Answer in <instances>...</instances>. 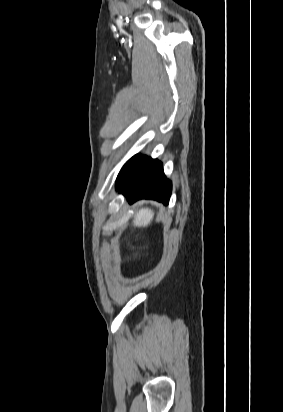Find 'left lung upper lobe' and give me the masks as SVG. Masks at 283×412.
I'll return each instance as SVG.
<instances>
[{
  "label": "left lung upper lobe",
  "mask_w": 283,
  "mask_h": 412,
  "mask_svg": "<svg viewBox=\"0 0 283 412\" xmlns=\"http://www.w3.org/2000/svg\"><path fill=\"white\" fill-rule=\"evenodd\" d=\"M144 156L142 155H135L133 156L121 169L118 177H117V183L122 184L126 182L130 176L132 175L133 171L135 168L138 166L140 161L142 160Z\"/></svg>",
  "instance_id": "5c2ea615"
}]
</instances>
